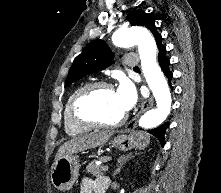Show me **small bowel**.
Listing matches in <instances>:
<instances>
[{
    "mask_svg": "<svg viewBox=\"0 0 221 193\" xmlns=\"http://www.w3.org/2000/svg\"><path fill=\"white\" fill-rule=\"evenodd\" d=\"M108 181L106 178L100 177L95 180L86 178L82 182L81 193H95L96 190H106Z\"/></svg>",
    "mask_w": 221,
    "mask_h": 193,
    "instance_id": "1",
    "label": "small bowel"
}]
</instances>
